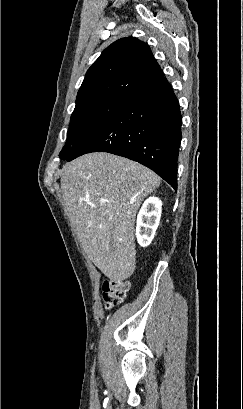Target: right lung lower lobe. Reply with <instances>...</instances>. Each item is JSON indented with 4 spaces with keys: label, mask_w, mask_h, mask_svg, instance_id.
I'll return each mask as SVG.
<instances>
[{
    "label": "right lung lower lobe",
    "mask_w": 243,
    "mask_h": 409,
    "mask_svg": "<svg viewBox=\"0 0 243 409\" xmlns=\"http://www.w3.org/2000/svg\"><path fill=\"white\" fill-rule=\"evenodd\" d=\"M181 124L178 100L163 77L126 98L66 160L90 152L112 153L149 167L177 190Z\"/></svg>",
    "instance_id": "1"
}]
</instances>
